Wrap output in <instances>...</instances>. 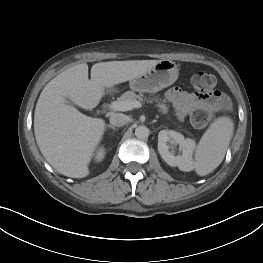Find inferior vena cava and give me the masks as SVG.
I'll return each instance as SVG.
<instances>
[{"mask_svg":"<svg viewBox=\"0 0 263 263\" xmlns=\"http://www.w3.org/2000/svg\"><path fill=\"white\" fill-rule=\"evenodd\" d=\"M109 121L112 126L121 127L127 123V116L122 113H113Z\"/></svg>","mask_w":263,"mask_h":263,"instance_id":"1","label":"inferior vena cava"}]
</instances>
